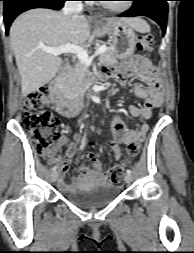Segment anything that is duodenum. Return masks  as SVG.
I'll use <instances>...</instances> for the list:
<instances>
[{"label":"duodenum","mask_w":194,"mask_h":253,"mask_svg":"<svg viewBox=\"0 0 194 253\" xmlns=\"http://www.w3.org/2000/svg\"><path fill=\"white\" fill-rule=\"evenodd\" d=\"M66 73H60L50 83L51 97L55 103L56 110L59 114L65 117H72L79 113L82 108L83 102L86 100L89 89L93 87L94 79H90L86 85H76L73 92L76 93L75 97L79 99H72L65 96L63 92V82ZM77 92H80L77 93Z\"/></svg>","instance_id":"duodenum-1"}]
</instances>
